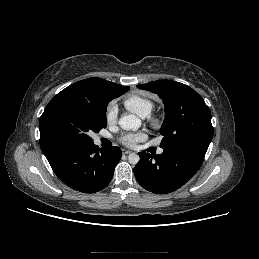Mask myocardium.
Here are the masks:
<instances>
[{"mask_svg": "<svg viewBox=\"0 0 259 259\" xmlns=\"http://www.w3.org/2000/svg\"><path fill=\"white\" fill-rule=\"evenodd\" d=\"M150 123L154 127H158L160 125V118L157 115H153L150 117Z\"/></svg>", "mask_w": 259, "mask_h": 259, "instance_id": "1", "label": "myocardium"}]
</instances>
